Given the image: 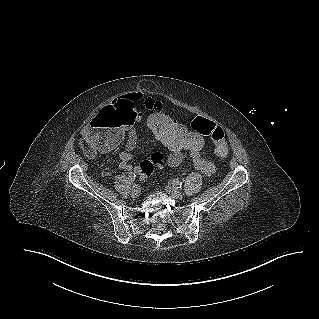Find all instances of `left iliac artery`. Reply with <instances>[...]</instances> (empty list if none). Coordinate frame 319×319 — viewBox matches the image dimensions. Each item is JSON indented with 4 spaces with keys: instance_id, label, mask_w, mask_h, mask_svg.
Returning a JSON list of instances; mask_svg holds the SVG:
<instances>
[{
    "instance_id": "44dca946",
    "label": "left iliac artery",
    "mask_w": 319,
    "mask_h": 319,
    "mask_svg": "<svg viewBox=\"0 0 319 319\" xmlns=\"http://www.w3.org/2000/svg\"><path fill=\"white\" fill-rule=\"evenodd\" d=\"M172 185H173V187H175V188H181V187H182V182L179 181L178 179H173V180H172Z\"/></svg>"
}]
</instances>
